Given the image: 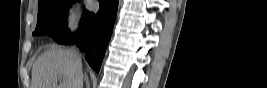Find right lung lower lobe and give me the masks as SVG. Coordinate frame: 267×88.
Wrapping results in <instances>:
<instances>
[{
  "label": "right lung lower lobe",
  "instance_id": "98d812e1",
  "mask_svg": "<svg viewBox=\"0 0 267 88\" xmlns=\"http://www.w3.org/2000/svg\"><path fill=\"white\" fill-rule=\"evenodd\" d=\"M100 9L97 14L84 11L79 31L71 34L65 30L54 40L60 44H76L86 52L85 59L90 66L99 72L101 63L109 43L118 8V0H99Z\"/></svg>",
  "mask_w": 267,
  "mask_h": 88
}]
</instances>
